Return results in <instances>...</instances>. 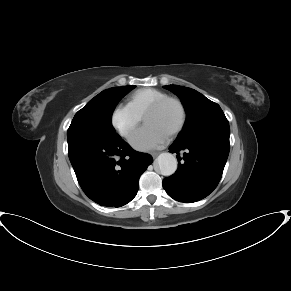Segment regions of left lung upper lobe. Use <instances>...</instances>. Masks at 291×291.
<instances>
[{
    "label": "left lung upper lobe",
    "instance_id": "1",
    "mask_svg": "<svg viewBox=\"0 0 291 291\" xmlns=\"http://www.w3.org/2000/svg\"><path fill=\"white\" fill-rule=\"evenodd\" d=\"M164 88L181 99L187 115L176 140H187L212 129L229 127L220 106L196 90L178 85H167Z\"/></svg>",
    "mask_w": 291,
    "mask_h": 291
}]
</instances>
